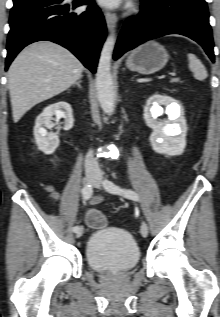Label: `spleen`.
<instances>
[{
	"instance_id": "obj_1",
	"label": "spleen",
	"mask_w": 220,
	"mask_h": 317,
	"mask_svg": "<svg viewBox=\"0 0 220 317\" xmlns=\"http://www.w3.org/2000/svg\"><path fill=\"white\" fill-rule=\"evenodd\" d=\"M189 69L193 72L195 79L203 81L207 78V71L202 62L192 53L187 55Z\"/></svg>"
}]
</instances>
